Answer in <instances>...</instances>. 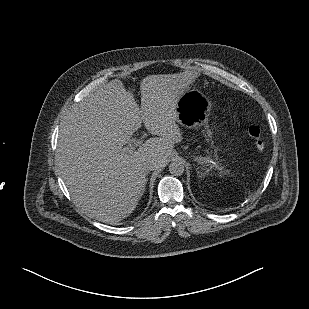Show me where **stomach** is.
Listing matches in <instances>:
<instances>
[{
    "mask_svg": "<svg viewBox=\"0 0 309 309\" xmlns=\"http://www.w3.org/2000/svg\"><path fill=\"white\" fill-rule=\"evenodd\" d=\"M210 108V102L205 98H198L193 92L187 93L176 105V122L186 128L204 125Z\"/></svg>",
    "mask_w": 309,
    "mask_h": 309,
    "instance_id": "obj_1",
    "label": "stomach"
}]
</instances>
